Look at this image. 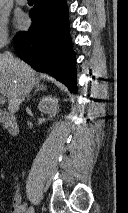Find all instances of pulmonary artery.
<instances>
[{
	"label": "pulmonary artery",
	"mask_w": 128,
	"mask_h": 213,
	"mask_svg": "<svg viewBox=\"0 0 128 213\" xmlns=\"http://www.w3.org/2000/svg\"><path fill=\"white\" fill-rule=\"evenodd\" d=\"M15 1L20 6H24L27 3V0H15Z\"/></svg>",
	"instance_id": "1"
}]
</instances>
